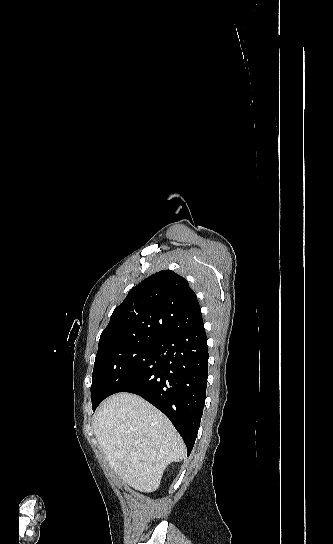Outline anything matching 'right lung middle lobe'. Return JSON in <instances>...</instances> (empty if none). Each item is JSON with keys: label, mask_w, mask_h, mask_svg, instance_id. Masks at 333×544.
I'll list each match as a JSON object with an SVG mask.
<instances>
[{"label": "right lung middle lobe", "mask_w": 333, "mask_h": 544, "mask_svg": "<svg viewBox=\"0 0 333 544\" xmlns=\"http://www.w3.org/2000/svg\"><path fill=\"white\" fill-rule=\"evenodd\" d=\"M156 341L135 342L96 354L92 375L93 411L106 397L128 385L149 361Z\"/></svg>", "instance_id": "1"}]
</instances>
